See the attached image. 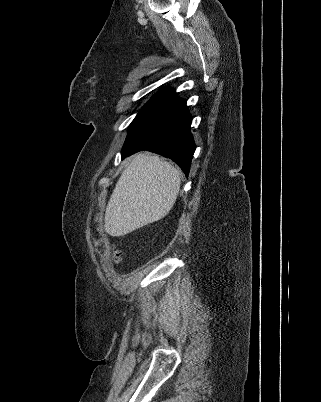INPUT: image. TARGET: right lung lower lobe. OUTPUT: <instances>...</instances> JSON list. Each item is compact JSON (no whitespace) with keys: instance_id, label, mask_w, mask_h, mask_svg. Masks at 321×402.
Wrapping results in <instances>:
<instances>
[{"instance_id":"right-lung-lower-lobe-1","label":"right lung lower lobe","mask_w":321,"mask_h":402,"mask_svg":"<svg viewBox=\"0 0 321 402\" xmlns=\"http://www.w3.org/2000/svg\"><path fill=\"white\" fill-rule=\"evenodd\" d=\"M192 117L186 101L173 92L156 108L130 126L122 148V158L148 150L170 158L188 176L195 143Z\"/></svg>"}]
</instances>
